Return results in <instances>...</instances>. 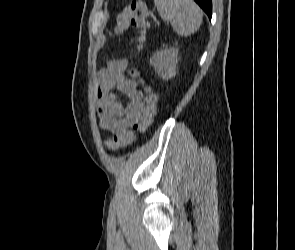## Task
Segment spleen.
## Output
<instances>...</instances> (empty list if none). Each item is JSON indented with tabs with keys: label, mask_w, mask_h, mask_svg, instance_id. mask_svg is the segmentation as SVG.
Returning a JSON list of instances; mask_svg holds the SVG:
<instances>
[{
	"label": "spleen",
	"mask_w": 295,
	"mask_h": 250,
	"mask_svg": "<svg viewBox=\"0 0 295 250\" xmlns=\"http://www.w3.org/2000/svg\"><path fill=\"white\" fill-rule=\"evenodd\" d=\"M154 4L160 17L180 36H190L202 23V10L193 0H154Z\"/></svg>",
	"instance_id": "1"
}]
</instances>
